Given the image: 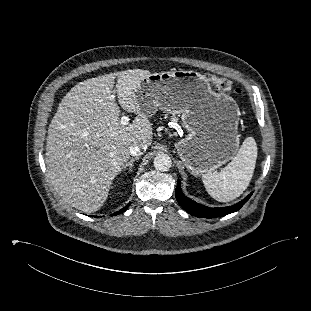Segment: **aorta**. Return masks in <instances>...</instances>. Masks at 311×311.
I'll return each instance as SVG.
<instances>
[{"label": "aorta", "instance_id": "obj_1", "mask_svg": "<svg viewBox=\"0 0 311 311\" xmlns=\"http://www.w3.org/2000/svg\"><path fill=\"white\" fill-rule=\"evenodd\" d=\"M153 163L154 167L159 171H168L172 165L171 158L167 154H158Z\"/></svg>", "mask_w": 311, "mask_h": 311}]
</instances>
